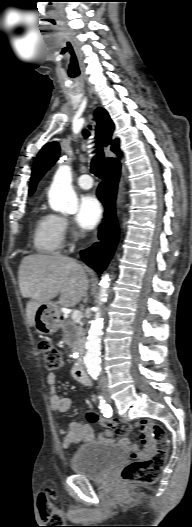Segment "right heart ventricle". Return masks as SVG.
Here are the masks:
<instances>
[{"label": "right heart ventricle", "instance_id": "e07e8e85", "mask_svg": "<svg viewBox=\"0 0 192 527\" xmlns=\"http://www.w3.org/2000/svg\"><path fill=\"white\" fill-rule=\"evenodd\" d=\"M63 239L59 217L41 213L36 220L33 233L35 249L42 254H57L62 248Z\"/></svg>", "mask_w": 192, "mask_h": 527}]
</instances>
